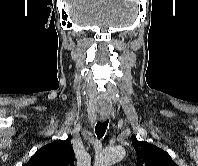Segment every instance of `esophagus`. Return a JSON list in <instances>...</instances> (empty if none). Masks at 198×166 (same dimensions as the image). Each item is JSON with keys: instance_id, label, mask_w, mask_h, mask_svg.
I'll return each mask as SVG.
<instances>
[{"instance_id": "34e87169", "label": "esophagus", "mask_w": 198, "mask_h": 166, "mask_svg": "<svg viewBox=\"0 0 198 166\" xmlns=\"http://www.w3.org/2000/svg\"><path fill=\"white\" fill-rule=\"evenodd\" d=\"M108 118V114H100V119L102 121L106 120Z\"/></svg>"}]
</instances>
